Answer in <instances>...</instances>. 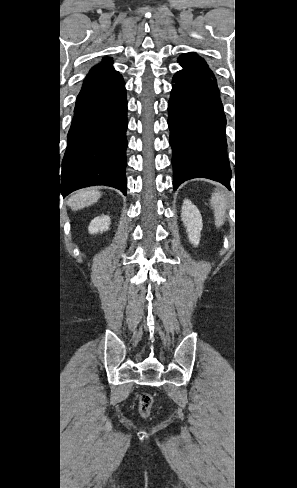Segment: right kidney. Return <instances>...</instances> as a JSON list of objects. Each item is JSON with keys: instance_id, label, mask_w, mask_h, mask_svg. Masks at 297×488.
I'll return each mask as SVG.
<instances>
[{"instance_id": "obj_1", "label": "right kidney", "mask_w": 297, "mask_h": 488, "mask_svg": "<svg viewBox=\"0 0 297 488\" xmlns=\"http://www.w3.org/2000/svg\"><path fill=\"white\" fill-rule=\"evenodd\" d=\"M111 224L110 217L106 215L95 217L89 224L90 234L103 233L109 229Z\"/></svg>"}]
</instances>
